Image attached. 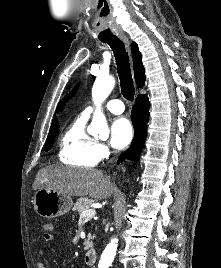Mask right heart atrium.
<instances>
[{"label":"right heart atrium","instance_id":"obj_1","mask_svg":"<svg viewBox=\"0 0 221 268\" xmlns=\"http://www.w3.org/2000/svg\"><path fill=\"white\" fill-rule=\"evenodd\" d=\"M97 153L99 159H104L109 155V150L105 144L98 143L97 144Z\"/></svg>","mask_w":221,"mask_h":268}]
</instances>
